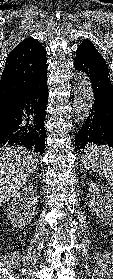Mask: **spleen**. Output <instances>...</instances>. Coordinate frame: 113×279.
<instances>
[{
	"label": "spleen",
	"mask_w": 113,
	"mask_h": 279,
	"mask_svg": "<svg viewBox=\"0 0 113 279\" xmlns=\"http://www.w3.org/2000/svg\"><path fill=\"white\" fill-rule=\"evenodd\" d=\"M81 158L86 169L106 178L113 192V148L91 145L84 150Z\"/></svg>",
	"instance_id": "spleen-1"
}]
</instances>
